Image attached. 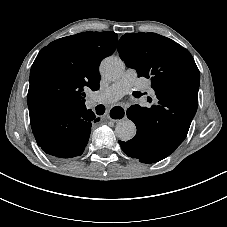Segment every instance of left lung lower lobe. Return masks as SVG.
<instances>
[{
    "label": "left lung lower lobe",
    "mask_w": 227,
    "mask_h": 227,
    "mask_svg": "<svg viewBox=\"0 0 227 227\" xmlns=\"http://www.w3.org/2000/svg\"><path fill=\"white\" fill-rule=\"evenodd\" d=\"M178 110L179 108L156 106L153 109L132 105L127 109V117L135 123L137 134L127 142L119 141L122 150L142 163L158 162L169 156L185 139L193 119L185 120ZM166 128L172 130L174 135L182 134V139L175 142L166 138L162 134Z\"/></svg>",
    "instance_id": "obj_1"
}]
</instances>
